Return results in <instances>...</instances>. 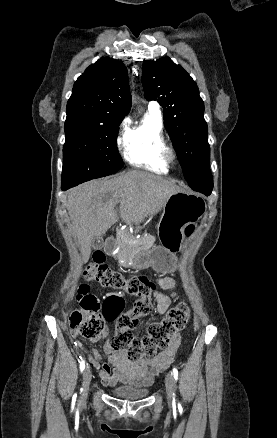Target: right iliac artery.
Segmentation results:
<instances>
[{"instance_id": "1", "label": "right iliac artery", "mask_w": 277, "mask_h": 438, "mask_svg": "<svg viewBox=\"0 0 277 438\" xmlns=\"http://www.w3.org/2000/svg\"><path fill=\"white\" fill-rule=\"evenodd\" d=\"M84 369H85V361L82 360V361L80 362V370L83 371Z\"/></svg>"}]
</instances>
